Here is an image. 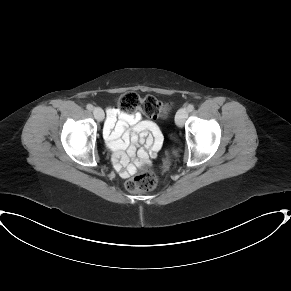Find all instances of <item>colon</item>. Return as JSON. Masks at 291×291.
<instances>
[{
	"label": "colon",
	"mask_w": 291,
	"mask_h": 291,
	"mask_svg": "<svg viewBox=\"0 0 291 291\" xmlns=\"http://www.w3.org/2000/svg\"><path fill=\"white\" fill-rule=\"evenodd\" d=\"M118 107L125 112L141 111L150 118H164L171 109L170 105L160 102L151 95L141 97L134 92L122 95ZM157 183L158 179L153 171L141 169L132 179L127 181L126 188L132 193H144L153 190Z\"/></svg>",
	"instance_id": "obj_1"
}]
</instances>
